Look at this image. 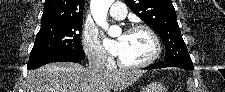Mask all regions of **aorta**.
I'll use <instances>...</instances> for the list:
<instances>
[{
  "mask_svg": "<svg viewBox=\"0 0 225 92\" xmlns=\"http://www.w3.org/2000/svg\"><path fill=\"white\" fill-rule=\"evenodd\" d=\"M114 0H91L90 9L95 22L108 31L109 35H112L119 31L118 27H109L107 23V12Z\"/></svg>",
  "mask_w": 225,
  "mask_h": 92,
  "instance_id": "1",
  "label": "aorta"
}]
</instances>
